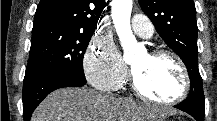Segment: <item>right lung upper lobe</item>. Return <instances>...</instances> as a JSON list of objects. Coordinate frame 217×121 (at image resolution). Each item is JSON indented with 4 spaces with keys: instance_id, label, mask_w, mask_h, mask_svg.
<instances>
[{
    "instance_id": "obj_1",
    "label": "right lung upper lobe",
    "mask_w": 217,
    "mask_h": 121,
    "mask_svg": "<svg viewBox=\"0 0 217 121\" xmlns=\"http://www.w3.org/2000/svg\"><path fill=\"white\" fill-rule=\"evenodd\" d=\"M107 4L105 0H41L33 26L55 23L94 30Z\"/></svg>"
}]
</instances>
